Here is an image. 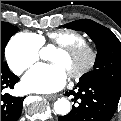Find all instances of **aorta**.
<instances>
[{"mask_svg": "<svg viewBox=\"0 0 121 121\" xmlns=\"http://www.w3.org/2000/svg\"><path fill=\"white\" fill-rule=\"evenodd\" d=\"M47 52H48V49L46 48L42 49L41 51L42 58L45 57V54ZM54 110L57 114L64 116L70 112V102L65 98H59L54 103Z\"/></svg>", "mask_w": 121, "mask_h": 121, "instance_id": "aorta-1", "label": "aorta"}]
</instances>
